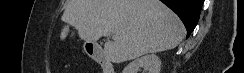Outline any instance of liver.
Returning <instances> with one entry per match:
<instances>
[{
	"label": "liver",
	"instance_id": "liver-1",
	"mask_svg": "<svg viewBox=\"0 0 244 73\" xmlns=\"http://www.w3.org/2000/svg\"><path fill=\"white\" fill-rule=\"evenodd\" d=\"M62 21L67 25L61 40L69 26L87 42L112 34L104 53L113 63L173 49L185 33L179 17L159 0H68Z\"/></svg>",
	"mask_w": 244,
	"mask_h": 73
}]
</instances>
